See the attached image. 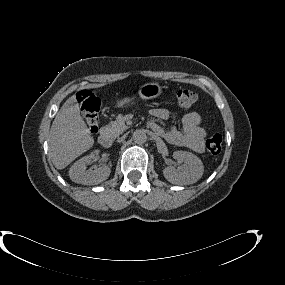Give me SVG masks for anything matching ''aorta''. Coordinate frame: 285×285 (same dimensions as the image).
<instances>
[{
    "label": "aorta",
    "mask_w": 285,
    "mask_h": 285,
    "mask_svg": "<svg viewBox=\"0 0 285 285\" xmlns=\"http://www.w3.org/2000/svg\"><path fill=\"white\" fill-rule=\"evenodd\" d=\"M133 140L137 144H143L147 141V135L143 130H136L133 133Z\"/></svg>",
    "instance_id": "762f6f07"
}]
</instances>
